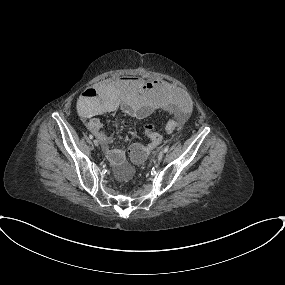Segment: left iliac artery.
<instances>
[{"instance_id": "44dca946", "label": "left iliac artery", "mask_w": 285, "mask_h": 285, "mask_svg": "<svg viewBox=\"0 0 285 285\" xmlns=\"http://www.w3.org/2000/svg\"><path fill=\"white\" fill-rule=\"evenodd\" d=\"M168 149H169L168 146H166L163 151H164V152H167Z\"/></svg>"}]
</instances>
